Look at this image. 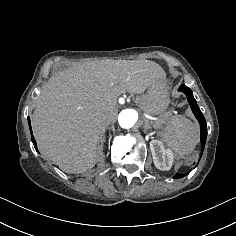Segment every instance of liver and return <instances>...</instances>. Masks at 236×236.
Wrapping results in <instances>:
<instances>
[{"mask_svg":"<svg viewBox=\"0 0 236 236\" xmlns=\"http://www.w3.org/2000/svg\"><path fill=\"white\" fill-rule=\"evenodd\" d=\"M163 68L150 60H101L73 65L50 77L32 115L40 151L66 173L93 168L104 153L99 136L115 121L120 94L143 93L165 82Z\"/></svg>","mask_w":236,"mask_h":236,"instance_id":"6515ba94","label":"liver"}]
</instances>
